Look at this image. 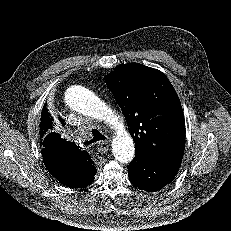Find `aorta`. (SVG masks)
<instances>
[{
  "label": "aorta",
  "instance_id": "aorta-1",
  "mask_svg": "<svg viewBox=\"0 0 231 231\" xmlns=\"http://www.w3.org/2000/svg\"><path fill=\"white\" fill-rule=\"evenodd\" d=\"M64 99L73 110L108 124L115 131L112 152L117 161L128 164L133 160L134 142L126 130L123 120L104 101L89 89L74 85L69 87Z\"/></svg>",
  "mask_w": 231,
  "mask_h": 231
}]
</instances>
